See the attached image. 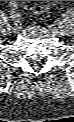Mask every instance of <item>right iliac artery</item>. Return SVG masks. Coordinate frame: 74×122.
<instances>
[{
	"label": "right iliac artery",
	"instance_id": "1",
	"mask_svg": "<svg viewBox=\"0 0 74 122\" xmlns=\"http://www.w3.org/2000/svg\"><path fill=\"white\" fill-rule=\"evenodd\" d=\"M14 13H15V11H11V15H12L13 18H15V17H14V16H15ZM15 23H16V22H15Z\"/></svg>",
	"mask_w": 74,
	"mask_h": 122
}]
</instances>
